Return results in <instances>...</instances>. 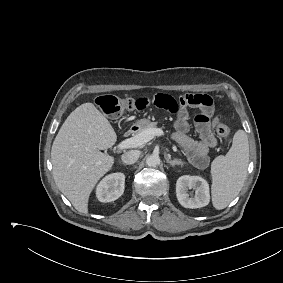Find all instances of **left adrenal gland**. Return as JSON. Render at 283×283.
<instances>
[{"label": "left adrenal gland", "mask_w": 283, "mask_h": 283, "mask_svg": "<svg viewBox=\"0 0 283 283\" xmlns=\"http://www.w3.org/2000/svg\"><path fill=\"white\" fill-rule=\"evenodd\" d=\"M165 159H166V162L169 163L172 167H174L175 165L182 166V162L180 160H177V159L171 160L169 155L166 156Z\"/></svg>", "instance_id": "obj_1"}]
</instances>
